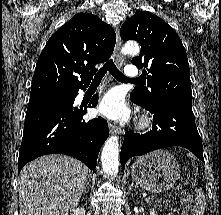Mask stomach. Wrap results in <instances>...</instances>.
Returning <instances> with one entry per match:
<instances>
[{"label": "stomach", "instance_id": "1", "mask_svg": "<svg viewBox=\"0 0 221 215\" xmlns=\"http://www.w3.org/2000/svg\"><path fill=\"white\" fill-rule=\"evenodd\" d=\"M131 174L144 189L160 193L174 186L179 178V164L168 151L156 150L135 160Z\"/></svg>", "mask_w": 221, "mask_h": 215}]
</instances>
